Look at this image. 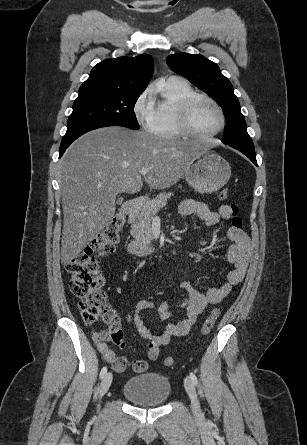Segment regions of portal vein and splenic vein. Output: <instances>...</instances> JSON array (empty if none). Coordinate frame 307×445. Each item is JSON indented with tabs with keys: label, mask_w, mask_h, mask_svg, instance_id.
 Here are the masks:
<instances>
[{
	"label": "portal vein and splenic vein",
	"mask_w": 307,
	"mask_h": 445,
	"mask_svg": "<svg viewBox=\"0 0 307 445\" xmlns=\"http://www.w3.org/2000/svg\"><path fill=\"white\" fill-rule=\"evenodd\" d=\"M147 172H149V168H143V170H140V174H143V176H145Z\"/></svg>",
	"instance_id": "obj_1"
}]
</instances>
